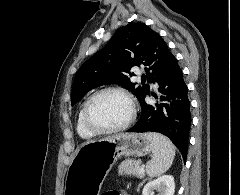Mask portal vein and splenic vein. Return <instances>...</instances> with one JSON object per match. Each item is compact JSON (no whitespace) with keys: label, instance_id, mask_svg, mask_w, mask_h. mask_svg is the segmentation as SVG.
<instances>
[{"label":"portal vein and splenic vein","instance_id":"obj_1","mask_svg":"<svg viewBox=\"0 0 240 195\" xmlns=\"http://www.w3.org/2000/svg\"><path fill=\"white\" fill-rule=\"evenodd\" d=\"M145 169L144 167H141V169H139V173H144Z\"/></svg>","mask_w":240,"mask_h":195}]
</instances>
